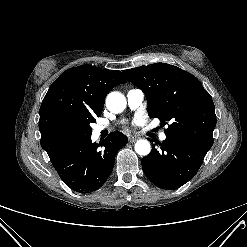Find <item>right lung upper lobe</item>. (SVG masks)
<instances>
[{
  "mask_svg": "<svg viewBox=\"0 0 247 247\" xmlns=\"http://www.w3.org/2000/svg\"><path fill=\"white\" fill-rule=\"evenodd\" d=\"M126 82L121 71L92 65L63 72L49 88L40 107L41 146L48 155L68 142L61 133L64 126L99 117L109 91Z\"/></svg>",
  "mask_w": 247,
  "mask_h": 247,
  "instance_id": "right-lung-upper-lobe-1",
  "label": "right lung upper lobe"
}]
</instances>
